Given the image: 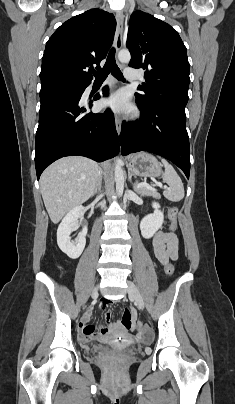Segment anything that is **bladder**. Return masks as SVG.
Masks as SVG:
<instances>
[{"mask_svg":"<svg viewBox=\"0 0 235 404\" xmlns=\"http://www.w3.org/2000/svg\"><path fill=\"white\" fill-rule=\"evenodd\" d=\"M112 351H113V352H116V353H121V352H122L121 349H117V348H113Z\"/></svg>","mask_w":235,"mask_h":404,"instance_id":"bladder-1","label":"bladder"}]
</instances>
